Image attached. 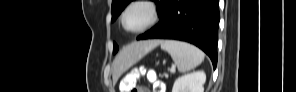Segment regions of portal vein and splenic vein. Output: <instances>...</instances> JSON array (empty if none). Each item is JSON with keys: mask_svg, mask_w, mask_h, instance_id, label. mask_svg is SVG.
Segmentation results:
<instances>
[{"mask_svg": "<svg viewBox=\"0 0 296 92\" xmlns=\"http://www.w3.org/2000/svg\"><path fill=\"white\" fill-rule=\"evenodd\" d=\"M170 72L174 73L175 72V67H171Z\"/></svg>", "mask_w": 296, "mask_h": 92, "instance_id": "1", "label": "portal vein and splenic vein"}]
</instances>
